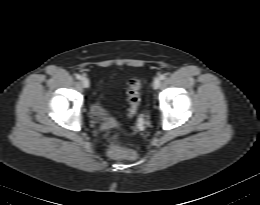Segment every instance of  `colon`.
Here are the masks:
<instances>
[{"label":"colon","mask_w":260,"mask_h":205,"mask_svg":"<svg viewBox=\"0 0 260 205\" xmlns=\"http://www.w3.org/2000/svg\"><path fill=\"white\" fill-rule=\"evenodd\" d=\"M142 82L140 79H132L129 81L127 90L128 100V115L129 117H135L139 110L140 105V89ZM120 133L118 131H111L106 135V141L108 143V154L113 158H125L129 160H135L138 158L136 151L131 149H125L119 144Z\"/></svg>","instance_id":"5ec220e1"}]
</instances>
